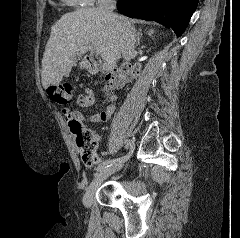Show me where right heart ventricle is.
<instances>
[{
	"instance_id": "obj_1",
	"label": "right heart ventricle",
	"mask_w": 240,
	"mask_h": 238,
	"mask_svg": "<svg viewBox=\"0 0 240 238\" xmlns=\"http://www.w3.org/2000/svg\"><path fill=\"white\" fill-rule=\"evenodd\" d=\"M63 2L73 5V6H83L86 5L83 0H62Z\"/></svg>"
}]
</instances>
